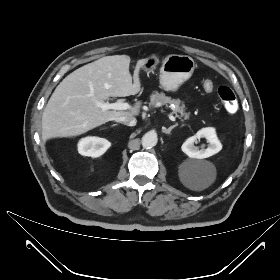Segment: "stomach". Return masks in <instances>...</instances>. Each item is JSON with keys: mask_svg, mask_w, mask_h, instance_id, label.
<instances>
[{"mask_svg": "<svg viewBox=\"0 0 280 280\" xmlns=\"http://www.w3.org/2000/svg\"><path fill=\"white\" fill-rule=\"evenodd\" d=\"M159 57L155 54L146 58L144 68L153 71L159 64ZM196 64L188 55H169L163 59L160 68L159 83L165 91L176 92L180 86L192 76Z\"/></svg>", "mask_w": 280, "mask_h": 280, "instance_id": "stomach-1", "label": "stomach"}]
</instances>
